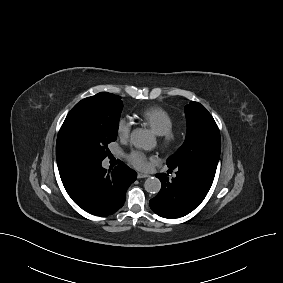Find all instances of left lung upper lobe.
<instances>
[{
  "mask_svg": "<svg viewBox=\"0 0 283 283\" xmlns=\"http://www.w3.org/2000/svg\"><path fill=\"white\" fill-rule=\"evenodd\" d=\"M187 136L183 145L167 160L169 168L193 171L213 182L220 157L219 128L206 108L191 101L185 106Z\"/></svg>",
  "mask_w": 283,
  "mask_h": 283,
  "instance_id": "1",
  "label": "left lung upper lobe"
}]
</instances>
